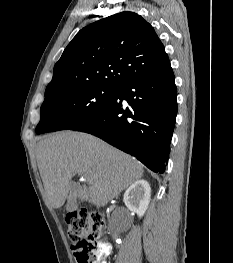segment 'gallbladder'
<instances>
[{
	"instance_id": "gallbladder-1",
	"label": "gallbladder",
	"mask_w": 233,
	"mask_h": 263,
	"mask_svg": "<svg viewBox=\"0 0 233 263\" xmlns=\"http://www.w3.org/2000/svg\"><path fill=\"white\" fill-rule=\"evenodd\" d=\"M72 192L78 195V187L76 185H72ZM77 207H78V203L76 197H74L72 194L68 199L66 210L67 212H73L77 209Z\"/></svg>"
}]
</instances>
